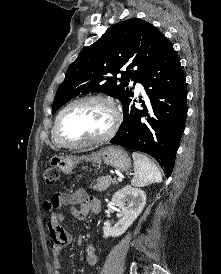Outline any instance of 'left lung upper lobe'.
<instances>
[{
    "label": "left lung upper lobe",
    "instance_id": "5c2ea615",
    "mask_svg": "<svg viewBox=\"0 0 221 274\" xmlns=\"http://www.w3.org/2000/svg\"><path fill=\"white\" fill-rule=\"evenodd\" d=\"M168 45V39L144 20L130 18L112 25L69 66L56 92L53 113L86 92H104L125 106L133 97L128 83H136ZM118 73L122 78L115 77Z\"/></svg>",
    "mask_w": 221,
    "mask_h": 274
}]
</instances>
